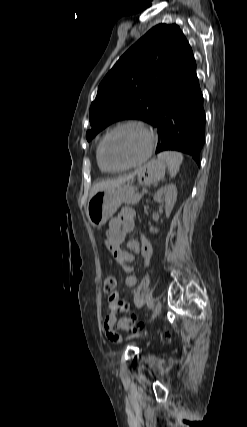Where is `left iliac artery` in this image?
Returning <instances> with one entry per match:
<instances>
[{
  "instance_id": "1",
  "label": "left iliac artery",
  "mask_w": 247,
  "mask_h": 427,
  "mask_svg": "<svg viewBox=\"0 0 247 427\" xmlns=\"http://www.w3.org/2000/svg\"><path fill=\"white\" fill-rule=\"evenodd\" d=\"M147 305H148V307H149V308H152V307H153V301H152V300H149V301L147 302Z\"/></svg>"
}]
</instances>
